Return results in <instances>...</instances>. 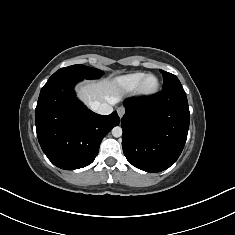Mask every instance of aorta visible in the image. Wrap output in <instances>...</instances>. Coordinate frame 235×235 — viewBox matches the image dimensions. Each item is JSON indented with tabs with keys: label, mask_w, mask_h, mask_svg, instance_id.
<instances>
[{
	"label": "aorta",
	"mask_w": 235,
	"mask_h": 235,
	"mask_svg": "<svg viewBox=\"0 0 235 235\" xmlns=\"http://www.w3.org/2000/svg\"><path fill=\"white\" fill-rule=\"evenodd\" d=\"M112 135L116 138L122 136V128L120 126L114 127L112 129Z\"/></svg>",
	"instance_id": "762f6f07"
}]
</instances>
